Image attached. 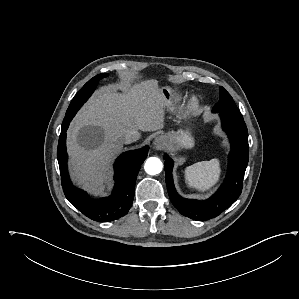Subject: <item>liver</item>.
Returning a JSON list of instances; mask_svg holds the SVG:
<instances>
[{"label": "liver", "instance_id": "6515ba94", "mask_svg": "<svg viewBox=\"0 0 299 299\" xmlns=\"http://www.w3.org/2000/svg\"><path fill=\"white\" fill-rule=\"evenodd\" d=\"M101 87L78 113L69 132L72 176L91 193L102 189L108 166L122 149L129 130L164 126L167 102L157 80Z\"/></svg>", "mask_w": 299, "mask_h": 299}]
</instances>
